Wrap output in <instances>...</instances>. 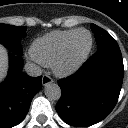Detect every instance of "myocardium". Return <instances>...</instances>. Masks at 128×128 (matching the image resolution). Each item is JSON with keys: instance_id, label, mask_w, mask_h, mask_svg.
Masks as SVG:
<instances>
[{"instance_id": "1", "label": "myocardium", "mask_w": 128, "mask_h": 128, "mask_svg": "<svg viewBox=\"0 0 128 128\" xmlns=\"http://www.w3.org/2000/svg\"><path fill=\"white\" fill-rule=\"evenodd\" d=\"M81 32H85L88 34L90 42H89V45L86 51L83 53V55L80 56L74 62H71L69 59V51H70L74 38L76 37L78 33H81ZM93 43L94 41H93V37L90 31L83 29V28L77 29L74 32V34L69 38L62 52L60 53L58 59L53 64V71L55 75L61 78H66L76 73L88 59L92 51V48H93Z\"/></svg>"}]
</instances>
